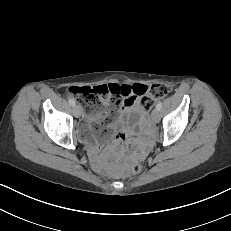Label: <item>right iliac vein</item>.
<instances>
[{
    "instance_id": "1",
    "label": "right iliac vein",
    "mask_w": 231,
    "mask_h": 231,
    "mask_svg": "<svg viewBox=\"0 0 231 231\" xmlns=\"http://www.w3.org/2000/svg\"><path fill=\"white\" fill-rule=\"evenodd\" d=\"M73 113H74V116L79 118L81 116V107L79 105H74L73 107Z\"/></svg>"
}]
</instances>
